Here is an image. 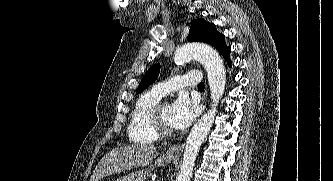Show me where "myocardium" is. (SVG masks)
I'll return each mask as SVG.
<instances>
[{"mask_svg": "<svg viewBox=\"0 0 333 181\" xmlns=\"http://www.w3.org/2000/svg\"><path fill=\"white\" fill-rule=\"evenodd\" d=\"M169 104L166 100H160L151 110L150 123L153 131L161 137H168L173 134V129L164 125L161 120V111L165 105Z\"/></svg>", "mask_w": 333, "mask_h": 181, "instance_id": "f54148a6", "label": "myocardium"}]
</instances>
